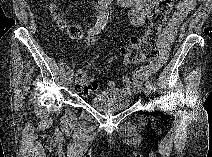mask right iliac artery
I'll list each match as a JSON object with an SVG mask.
<instances>
[{"mask_svg":"<svg viewBox=\"0 0 212 157\" xmlns=\"http://www.w3.org/2000/svg\"><path fill=\"white\" fill-rule=\"evenodd\" d=\"M107 20H108V15L101 14L98 17L96 24L88 30V35H95L100 33L106 26ZM67 74L72 75V70H69Z\"/></svg>","mask_w":212,"mask_h":157,"instance_id":"obj_1","label":"right iliac artery"}]
</instances>
